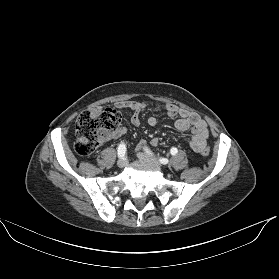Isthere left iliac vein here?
I'll list each match as a JSON object with an SVG mask.
<instances>
[{"mask_svg": "<svg viewBox=\"0 0 279 279\" xmlns=\"http://www.w3.org/2000/svg\"><path fill=\"white\" fill-rule=\"evenodd\" d=\"M137 157L141 160H144V161H149V162H153L154 164H156L157 166L159 167H162V163L159 162L157 159L153 158V157H150L149 155L145 154V153H137Z\"/></svg>", "mask_w": 279, "mask_h": 279, "instance_id": "1", "label": "left iliac vein"}]
</instances>
